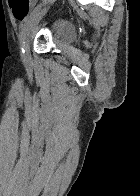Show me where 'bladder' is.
<instances>
[{
	"mask_svg": "<svg viewBox=\"0 0 140 196\" xmlns=\"http://www.w3.org/2000/svg\"><path fill=\"white\" fill-rule=\"evenodd\" d=\"M53 38L62 44H70L74 41V32L71 21L67 18L55 19L50 27Z\"/></svg>",
	"mask_w": 140,
	"mask_h": 196,
	"instance_id": "bladder-1",
	"label": "bladder"
}]
</instances>
